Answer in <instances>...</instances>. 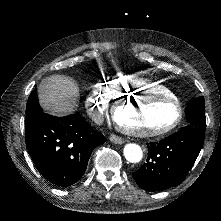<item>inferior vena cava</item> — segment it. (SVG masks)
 <instances>
[{
	"label": "inferior vena cava",
	"instance_id": "1",
	"mask_svg": "<svg viewBox=\"0 0 221 221\" xmlns=\"http://www.w3.org/2000/svg\"><path fill=\"white\" fill-rule=\"evenodd\" d=\"M92 120L98 124L101 125L104 121L103 115L100 112H97L95 116L92 117Z\"/></svg>",
	"mask_w": 221,
	"mask_h": 221
}]
</instances>
